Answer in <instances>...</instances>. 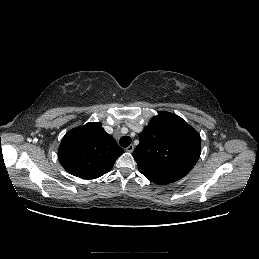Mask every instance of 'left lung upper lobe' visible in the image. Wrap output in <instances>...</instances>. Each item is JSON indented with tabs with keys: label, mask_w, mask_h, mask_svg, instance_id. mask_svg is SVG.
<instances>
[{
	"label": "left lung upper lobe",
	"mask_w": 259,
	"mask_h": 259,
	"mask_svg": "<svg viewBox=\"0 0 259 259\" xmlns=\"http://www.w3.org/2000/svg\"><path fill=\"white\" fill-rule=\"evenodd\" d=\"M200 153L197 131L181 117L161 111L140 134L133 157L144 176L168 184L187 175Z\"/></svg>",
	"instance_id": "obj_1"
}]
</instances>
